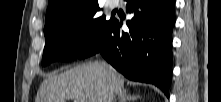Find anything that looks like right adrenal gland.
I'll return each mask as SVG.
<instances>
[{"mask_svg":"<svg viewBox=\"0 0 221 102\" xmlns=\"http://www.w3.org/2000/svg\"><path fill=\"white\" fill-rule=\"evenodd\" d=\"M137 98H140L139 95H130L127 93L126 90H123V92L120 95L119 102H134Z\"/></svg>","mask_w":221,"mask_h":102,"instance_id":"obj_1","label":"right adrenal gland"}]
</instances>
